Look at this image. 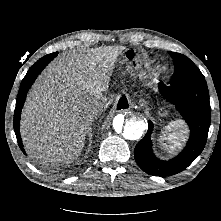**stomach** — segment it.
Segmentation results:
<instances>
[{
	"label": "stomach",
	"mask_w": 221,
	"mask_h": 221,
	"mask_svg": "<svg viewBox=\"0 0 221 221\" xmlns=\"http://www.w3.org/2000/svg\"><path fill=\"white\" fill-rule=\"evenodd\" d=\"M162 115H166V113L164 112V113H161Z\"/></svg>",
	"instance_id": "0dacf381"
}]
</instances>
